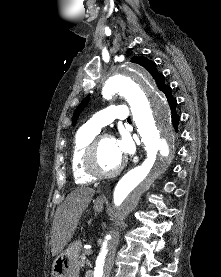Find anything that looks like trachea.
Listing matches in <instances>:
<instances>
[{
	"label": "trachea",
	"mask_w": 221,
	"mask_h": 277,
	"mask_svg": "<svg viewBox=\"0 0 221 277\" xmlns=\"http://www.w3.org/2000/svg\"><path fill=\"white\" fill-rule=\"evenodd\" d=\"M128 121H131V119H130V117H128V119H127Z\"/></svg>",
	"instance_id": "1"
}]
</instances>
